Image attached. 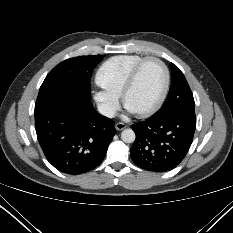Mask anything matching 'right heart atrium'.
<instances>
[{
	"label": "right heart atrium",
	"mask_w": 233,
	"mask_h": 233,
	"mask_svg": "<svg viewBox=\"0 0 233 233\" xmlns=\"http://www.w3.org/2000/svg\"><path fill=\"white\" fill-rule=\"evenodd\" d=\"M93 97L105 116L112 117L115 115L120 104L119 95L101 87L94 91Z\"/></svg>",
	"instance_id": "d8ad5b80"
}]
</instances>
